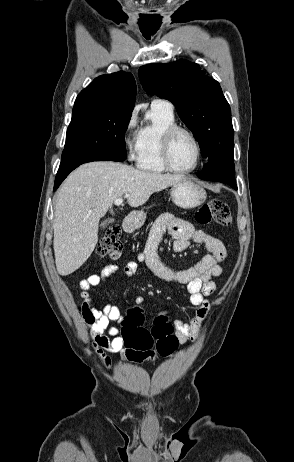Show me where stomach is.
Segmentation results:
<instances>
[{"label": "stomach", "mask_w": 294, "mask_h": 462, "mask_svg": "<svg viewBox=\"0 0 294 462\" xmlns=\"http://www.w3.org/2000/svg\"><path fill=\"white\" fill-rule=\"evenodd\" d=\"M171 198L175 205L180 208L190 209L201 205L206 200V191L200 185L196 184L189 178H184L172 185ZM133 224L135 227H141L146 219V213L143 210L134 212Z\"/></svg>", "instance_id": "obj_1"}]
</instances>
